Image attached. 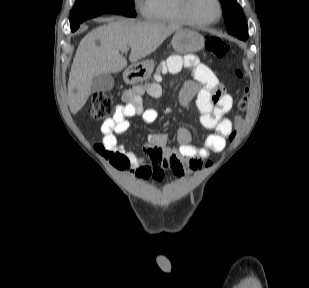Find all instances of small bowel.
I'll list each match as a JSON object with an SVG mask.
<instances>
[{"instance_id": "1", "label": "small bowel", "mask_w": 309, "mask_h": 288, "mask_svg": "<svg viewBox=\"0 0 309 288\" xmlns=\"http://www.w3.org/2000/svg\"><path fill=\"white\" fill-rule=\"evenodd\" d=\"M185 67L194 81L186 84L180 91L178 103L184 107L195 97V104L201 114L202 125L212 130L203 141L202 146L192 144V133L187 127H180L177 132L178 146L169 145V137L165 133L149 135L144 148V155L149 160L145 163L131 149L117 142V135L124 134L130 128L128 118L138 116L146 123H154L158 112L153 108H145L142 94L153 98L162 95L159 84L152 83L137 86L124 93L121 103L113 117L105 120L101 126L102 143L107 153L122 154L125 160L118 164L121 171L134 173L140 180L162 182L165 172L169 170L176 178L200 170L203 161L213 153H220L226 146V138L233 130L232 121L226 114L233 107V98L223 88L214 72L200 63L196 56L185 57L173 55L169 58L167 68L171 73L179 72ZM169 109L168 112H172Z\"/></svg>"}]
</instances>
